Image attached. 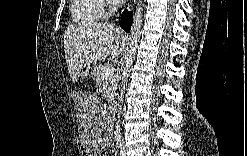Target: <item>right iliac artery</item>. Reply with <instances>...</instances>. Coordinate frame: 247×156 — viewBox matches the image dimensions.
<instances>
[{"label":"right iliac artery","instance_id":"obj_1","mask_svg":"<svg viewBox=\"0 0 247 156\" xmlns=\"http://www.w3.org/2000/svg\"><path fill=\"white\" fill-rule=\"evenodd\" d=\"M120 139H121L120 136L117 135V146H118V147H120Z\"/></svg>","mask_w":247,"mask_h":156}]
</instances>
